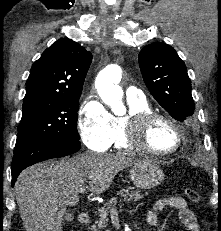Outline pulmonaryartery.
Listing matches in <instances>:
<instances>
[{"mask_svg": "<svg viewBox=\"0 0 221 231\" xmlns=\"http://www.w3.org/2000/svg\"><path fill=\"white\" fill-rule=\"evenodd\" d=\"M126 96L129 101H142L145 100V96L141 90L136 87H128L126 89Z\"/></svg>", "mask_w": 221, "mask_h": 231, "instance_id": "pulmonary-artery-1", "label": "pulmonary artery"}]
</instances>
